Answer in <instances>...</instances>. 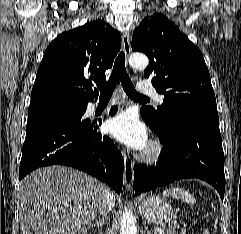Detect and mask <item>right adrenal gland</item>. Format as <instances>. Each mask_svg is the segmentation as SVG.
I'll return each mask as SVG.
<instances>
[{"mask_svg": "<svg viewBox=\"0 0 241 234\" xmlns=\"http://www.w3.org/2000/svg\"><path fill=\"white\" fill-rule=\"evenodd\" d=\"M104 225V217H102L99 220H96L95 223H92L88 229H91L93 227H96V229H100Z\"/></svg>", "mask_w": 241, "mask_h": 234, "instance_id": "2a0ac1e0", "label": "right adrenal gland"}]
</instances>
